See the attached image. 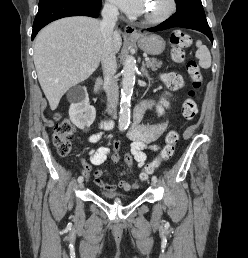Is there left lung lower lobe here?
Segmentation results:
<instances>
[{
    "mask_svg": "<svg viewBox=\"0 0 248 258\" xmlns=\"http://www.w3.org/2000/svg\"><path fill=\"white\" fill-rule=\"evenodd\" d=\"M173 27H183L200 31L207 35L213 43V35L206 20L203 8L193 9L188 12H176L160 25L148 28L147 30L150 32H157Z\"/></svg>",
    "mask_w": 248,
    "mask_h": 258,
    "instance_id": "obj_1",
    "label": "left lung lower lobe"
}]
</instances>
